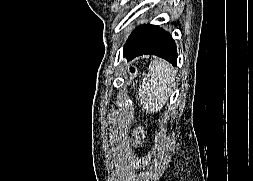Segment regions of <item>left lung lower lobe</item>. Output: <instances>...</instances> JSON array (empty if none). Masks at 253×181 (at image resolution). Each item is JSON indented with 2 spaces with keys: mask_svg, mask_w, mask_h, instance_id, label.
<instances>
[{
  "mask_svg": "<svg viewBox=\"0 0 253 181\" xmlns=\"http://www.w3.org/2000/svg\"><path fill=\"white\" fill-rule=\"evenodd\" d=\"M124 56L131 60L143 54H154L176 65L177 52L168 32L156 25L141 26L130 35L124 45Z\"/></svg>",
  "mask_w": 253,
  "mask_h": 181,
  "instance_id": "obj_1",
  "label": "left lung lower lobe"
}]
</instances>
